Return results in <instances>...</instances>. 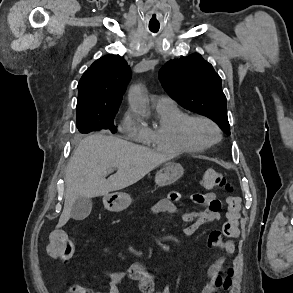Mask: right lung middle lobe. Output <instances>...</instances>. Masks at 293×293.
Segmentation results:
<instances>
[{
    "mask_svg": "<svg viewBox=\"0 0 293 293\" xmlns=\"http://www.w3.org/2000/svg\"><path fill=\"white\" fill-rule=\"evenodd\" d=\"M115 115L116 112L110 114L77 112L76 125L80 133H89L101 129H110L114 133L117 130L114 126Z\"/></svg>",
    "mask_w": 293,
    "mask_h": 293,
    "instance_id": "right-lung-middle-lobe-1",
    "label": "right lung middle lobe"
}]
</instances>
